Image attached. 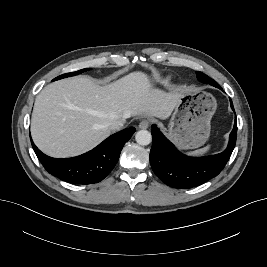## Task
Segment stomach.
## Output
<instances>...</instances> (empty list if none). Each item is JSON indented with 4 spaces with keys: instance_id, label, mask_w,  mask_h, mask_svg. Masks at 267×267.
<instances>
[{
    "instance_id": "stomach-1",
    "label": "stomach",
    "mask_w": 267,
    "mask_h": 267,
    "mask_svg": "<svg viewBox=\"0 0 267 267\" xmlns=\"http://www.w3.org/2000/svg\"><path fill=\"white\" fill-rule=\"evenodd\" d=\"M216 107V99L206 91L184 92L170 119L169 137L180 149L202 146L209 138Z\"/></svg>"
}]
</instances>
